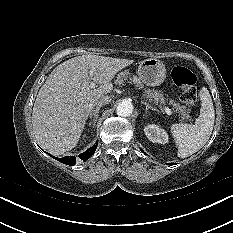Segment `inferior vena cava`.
Segmentation results:
<instances>
[{"label":"inferior vena cava","mask_w":233,"mask_h":233,"mask_svg":"<svg viewBox=\"0 0 233 233\" xmlns=\"http://www.w3.org/2000/svg\"><path fill=\"white\" fill-rule=\"evenodd\" d=\"M110 101H111L110 96L106 95V96H103L102 98H100V99L96 102V105H97V106H103V105L109 104Z\"/></svg>","instance_id":"inferior-vena-cava-1"}]
</instances>
